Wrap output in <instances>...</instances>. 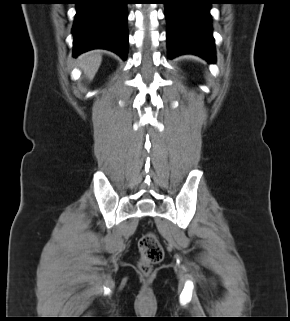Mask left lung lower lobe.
Returning <instances> with one entry per match:
<instances>
[{
    "instance_id": "obj_1",
    "label": "left lung lower lobe",
    "mask_w": 290,
    "mask_h": 321,
    "mask_svg": "<svg viewBox=\"0 0 290 321\" xmlns=\"http://www.w3.org/2000/svg\"><path fill=\"white\" fill-rule=\"evenodd\" d=\"M214 0H165L168 57L192 53L215 63L210 4Z\"/></svg>"
}]
</instances>
